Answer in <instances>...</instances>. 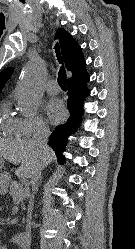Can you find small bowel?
I'll list each match as a JSON object with an SVG mask.
<instances>
[{
    "instance_id": "small-bowel-1",
    "label": "small bowel",
    "mask_w": 135,
    "mask_h": 249,
    "mask_svg": "<svg viewBox=\"0 0 135 249\" xmlns=\"http://www.w3.org/2000/svg\"><path fill=\"white\" fill-rule=\"evenodd\" d=\"M0 249H6V248L0 245Z\"/></svg>"
}]
</instances>
